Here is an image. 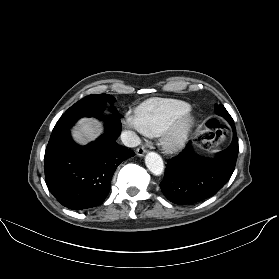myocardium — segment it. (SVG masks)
Returning a JSON list of instances; mask_svg holds the SVG:
<instances>
[{
  "mask_svg": "<svg viewBox=\"0 0 279 279\" xmlns=\"http://www.w3.org/2000/svg\"><path fill=\"white\" fill-rule=\"evenodd\" d=\"M195 125V117L191 110L178 116L159 135L160 144L167 152L181 150L188 141L191 130Z\"/></svg>",
  "mask_w": 279,
  "mask_h": 279,
  "instance_id": "f54148a6",
  "label": "myocardium"
}]
</instances>
